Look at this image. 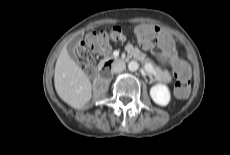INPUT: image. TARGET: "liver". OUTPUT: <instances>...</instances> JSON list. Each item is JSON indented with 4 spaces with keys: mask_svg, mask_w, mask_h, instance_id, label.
<instances>
[{
    "mask_svg": "<svg viewBox=\"0 0 230 155\" xmlns=\"http://www.w3.org/2000/svg\"><path fill=\"white\" fill-rule=\"evenodd\" d=\"M54 84L59 97L75 109L82 108L92 97L89 77L71 59L64 46L57 58Z\"/></svg>",
    "mask_w": 230,
    "mask_h": 155,
    "instance_id": "6515ba94",
    "label": "liver"
}]
</instances>
